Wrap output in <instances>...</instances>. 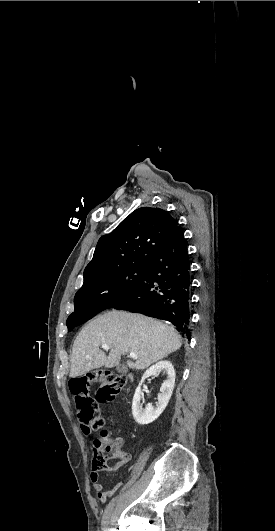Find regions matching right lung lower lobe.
Returning a JSON list of instances; mask_svg holds the SVG:
<instances>
[{
    "label": "right lung lower lobe",
    "instance_id": "obj_1",
    "mask_svg": "<svg viewBox=\"0 0 275 531\" xmlns=\"http://www.w3.org/2000/svg\"><path fill=\"white\" fill-rule=\"evenodd\" d=\"M190 264L183 232L178 226L133 291L112 308L171 322L190 339Z\"/></svg>",
    "mask_w": 275,
    "mask_h": 531
}]
</instances>
